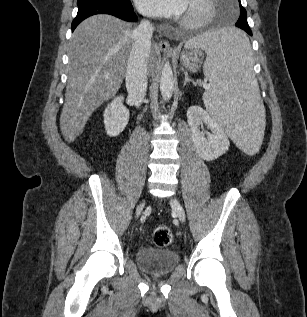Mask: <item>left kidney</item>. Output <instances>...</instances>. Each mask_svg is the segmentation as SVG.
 <instances>
[{"mask_svg":"<svg viewBox=\"0 0 307 317\" xmlns=\"http://www.w3.org/2000/svg\"><path fill=\"white\" fill-rule=\"evenodd\" d=\"M187 121L191 130L192 140L198 154L205 160L217 159L224 154L230 145L222 127L200 106H191L187 110ZM205 123L212 131L205 136L199 126Z\"/></svg>","mask_w":307,"mask_h":317,"instance_id":"obj_1","label":"left kidney"}]
</instances>
